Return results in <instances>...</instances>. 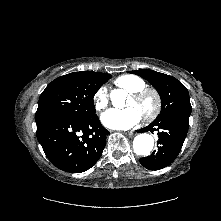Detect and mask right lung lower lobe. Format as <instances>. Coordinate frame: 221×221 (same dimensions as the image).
I'll list each match as a JSON object with an SVG mask.
<instances>
[{
  "mask_svg": "<svg viewBox=\"0 0 221 221\" xmlns=\"http://www.w3.org/2000/svg\"><path fill=\"white\" fill-rule=\"evenodd\" d=\"M37 139L57 168L81 173L101 157L109 132L97 115L90 118H56L37 125Z\"/></svg>",
  "mask_w": 221,
  "mask_h": 221,
  "instance_id": "98d812e1",
  "label": "right lung lower lobe"
}]
</instances>
